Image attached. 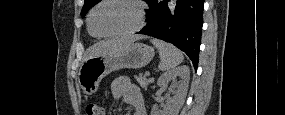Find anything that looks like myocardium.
I'll return each mask as SVG.
<instances>
[{
  "label": "myocardium",
  "instance_id": "myocardium-1",
  "mask_svg": "<svg viewBox=\"0 0 285 115\" xmlns=\"http://www.w3.org/2000/svg\"><path fill=\"white\" fill-rule=\"evenodd\" d=\"M108 1H121V2H126V3L133 5L136 8L137 16H138V24L136 25V27L129 29V30L120 31V32H113V33H97V32H95L93 30V27H92V16L98 7H100L101 5H103L104 3L108 2ZM145 21H146L145 6H144L143 2L139 1V0H103V1L99 2L98 4H96L90 10V12L88 14V18H87V24H88L89 32L93 36L98 37V38L128 36V35L135 34V33L139 32L140 30H142V28L145 25Z\"/></svg>",
  "mask_w": 285,
  "mask_h": 115
}]
</instances>
